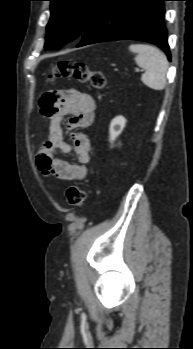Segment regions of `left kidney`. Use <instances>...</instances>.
<instances>
[{
	"label": "left kidney",
	"instance_id": "5707ae66",
	"mask_svg": "<svg viewBox=\"0 0 193 349\" xmlns=\"http://www.w3.org/2000/svg\"><path fill=\"white\" fill-rule=\"evenodd\" d=\"M126 125V119L123 116L115 117L109 127V140L110 142H114L116 138L120 135Z\"/></svg>",
	"mask_w": 193,
	"mask_h": 349
}]
</instances>
